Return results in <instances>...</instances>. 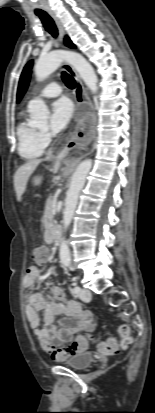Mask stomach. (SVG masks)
I'll use <instances>...</instances> for the list:
<instances>
[{"instance_id":"0dacf381","label":"stomach","mask_w":155,"mask_h":413,"mask_svg":"<svg viewBox=\"0 0 155 413\" xmlns=\"http://www.w3.org/2000/svg\"><path fill=\"white\" fill-rule=\"evenodd\" d=\"M40 182H41V178H38V177L34 178L35 184H39Z\"/></svg>"}]
</instances>
